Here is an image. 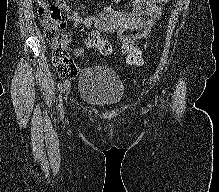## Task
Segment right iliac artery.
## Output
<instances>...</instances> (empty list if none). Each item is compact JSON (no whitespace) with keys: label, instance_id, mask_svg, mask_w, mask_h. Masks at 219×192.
Returning <instances> with one entry per match:
<instances>
[{"label":"right iliac artery","instance_id":"right-iliac-artery-1","mask_svg":"<svg viewBox=\"0 0 219 192\" xmlns=\"http://www.w3.org/2000/svg\"><path fill=\"white\" fill-rule=\"evenodd\" d=\"M70 87V83L68 82H65L61 87H60V98H59V110H60V113H62V93Z\"/></svg>","mask_w":219,"mask_h":192}]
</instances>
